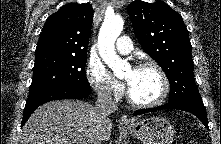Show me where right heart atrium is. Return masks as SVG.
<instances>
[{
	"instance_id": "right-heart-atrium-1",
	"label": "right heart atrium",
	"mask_w": 221,
	"mask_h": 144,
	"mask_svg": "<svg viewBox=\"0 0 221 144\" xmlns=\"http://www.w3.org/2000/svg\"><path fill=\"white\" fill-rule=\"evenodd\" d=\"M90 86L102 98L117 100L123 93L122 85L108 72L102 62L92 59L86 67Z\"/></svg>"
}]
</instances>
